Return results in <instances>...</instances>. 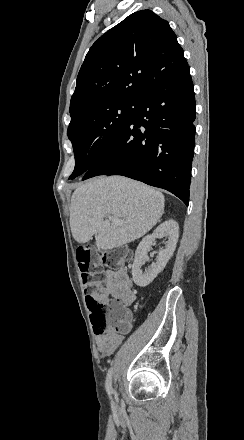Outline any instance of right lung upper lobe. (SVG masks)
<instances>
[{
    "label": "right lung upper lobe",
    "instance_id": "right-lung-upper-lobe-1",
    "mask_svg": "<svg viewBox=\"0 0 244 440\" xmlns=\"http://www.w3.org/2000/svg\"><path fill=\"white\" fill-rule=\"evenodd\" d=\"M184 62L169 23L151 10L137 11L92 45L70 110L107 98H140L159 74Z\"/></svg>",
    "mask_w": 244,
    "mask_h": 440
}]
</instances>
